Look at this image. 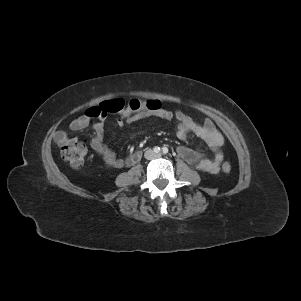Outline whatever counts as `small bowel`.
<instances>
[{
  "instance_id": "c3829d8e",
  "label": "small bowel",
  "mask_w": 301,
  "mask_h": 301,
  "mask_svg": "<svg viewBox=\"0 0 301 301\" xmlns=\"http://www.w3.org/2000/svg\"><path fill=\"white\" fill-rule=\"evenodd\" d=\"M133 112L134 111L126 109L121 112V116L128 123L135 120H145L149 116H156L170 122L174 121L177 123L176 135L179 139L185 140L190 135H195L200 138L213 154L211 158L184 146L177 149L178 155L191 166L203 172L214 174L219 171L224 158L222 153L224 138L215 128L211 120L207 119L203 124H199L182 111L172 112L164 109L162 106L157 111L141 110L135 115H133ZM91 119L92 117L85 112L70 122V129L72 131L82 130L89 125ZM105 122V116L96 118L93 124L94 134L90 141L91 147L102 157L106 166L113 169L121 168L127 164V160L117 158L115 153L105 144ZM54 140L59 145H65L76 141L77 138L69 136L66 131H58L54 136Z\"/></svg>"
}]
</instances>
